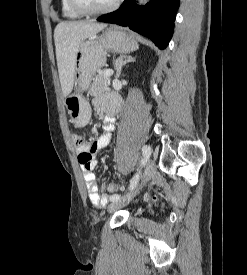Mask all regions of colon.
I'll return each instance as SVG.
<instances>
[{"instance_id": "5ec220e1", "label": "colon", "mask_w": 247, "mask_h": 275, "mask_svg": "<svg viewBox=\"0 0 247 275\" xmlns=\"http://www.w3.org/2000/svg\"><path fill=\"white\" fill-rule=\"evenodd\" d=\"M72 142L76 147H81L84 144V137L80 134H73L72 135ZM121 189L120 185L118 183H111L108 185L107 187V191L109 193H116ZM156 195L150 194V195H146V199L147 200H156Z\"/></svg>"}]
</instances>
